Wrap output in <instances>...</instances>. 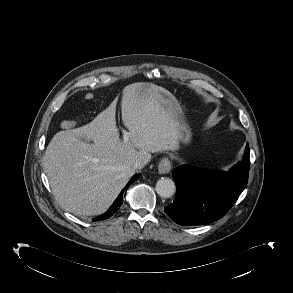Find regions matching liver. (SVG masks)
Returning a JSON list of instances; mask_svg holds the SVG:
<instances>
[{
    "label": "liver",
    "instance_id": "6515ba94",
    "mask_svg": "<svg viewBox=\"0 0 293 293\" xmlns=\"http://www.w3.org/2000/svg\"><path fill=\"white\" fill-rule=\"evenodd\" d=\"M145 87L149 92L140 95ZM166 92L145 83L123 89L121 113L130 133L128 143L120 139L116 127L117 99L89 124L54 135L45 151L43 168L64 210L78 216L104 213L134 175L136 160L179 149L178 122L160 94Z\"/></svg>",
    "mask_w": 293,
    "mask_h": 293
}]
</instances>
